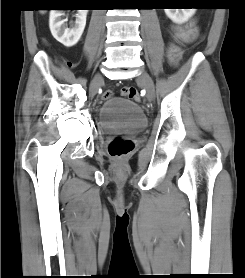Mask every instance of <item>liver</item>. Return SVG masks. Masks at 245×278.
Segmentation results:
<instances>
[{
  "mask_svg": "<svg viewBox=\"0 0 245 278\" xmlns=\"http://www.w3.org/2000/svg\"><path fill=\"white\" fill-rule=\"evenodd\" d=\"M45 12H46L45 10H41V11H40L41 14H44Z\"/></svg>",
  "mask_w": 245,
  "mask_h": 278,
  "instance_id": "liver-1",
  "label": "liver"
}]
</instances>
